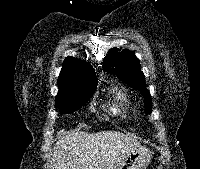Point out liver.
<instances>
[{"instance_id": "obj_1", "label": "liver", "mask_w": 200, "mask_h": 169, "mask_svg": "<svg viewBox=\"0 0 200 169\" xmlns=\"http://www.w3.org/2000/svg\"><path fill=\"white\" fill-rule=\"evenodd\" d=\"M139 147L135 138L120 132H71L56 142L50 169H116Z\"/></svg>"}]
</instances>
